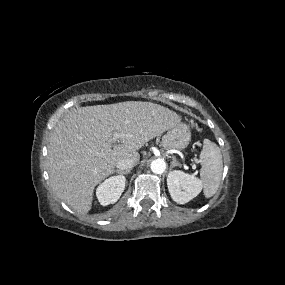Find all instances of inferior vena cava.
<instances>
[{
	"label": "inferior vena cava",
	"mask_w": 285,
	"mask_h": 285,
	"mask_svg": "<svg viewBox=\"0 0 285 285\" xmlns=\"http://www.w3.org/2000/svg\"><path fill=\"white\" fill-rule=\"evenodd\" d=\"M136 162L133 159H121L116 163L119 170L127 171L135 166Z\"/></svg>",
	"instance_id": "1"
}]
</instances>
